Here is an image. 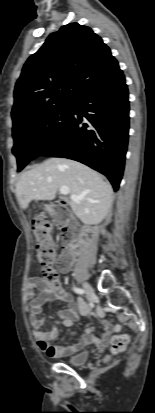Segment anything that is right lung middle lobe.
<instances>
[{"instance_id": "dd1d6c3e", "label": "right lung middle lobe", "mask_w": 155, "mask_h": 413, "mask_svg": "<svg viewBox=\"0 0 155 413\" xmlns=\"http://www.w3.org/2000/svg\"><path fill=\"white\" fill-rule=\"evenodd\" d=\"M73 110V103L64 104L13 127L12 152L17 158L18 172L56 141L68 124Z\"/></svg>"}]
</instances>
